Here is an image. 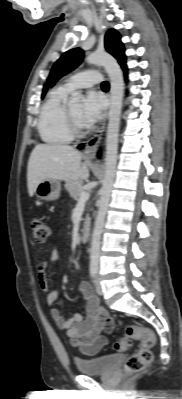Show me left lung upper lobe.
Here are the masks:
<instances>
[{"label": "left lung upper lobe", "mask_w": 182, "mask_h": 399, "mask_svg": "<svg viewBox=\"0 0 182 399\" xmlns=\"http://www.w3.org/2000/svg\"><path fill=\"white\" fill-rule=\"evenodd\" d=\"M105 49L118 60L123 69H126L124 46L116 30L110 29L106 33ZM83 57V51L79 48L65 52L53 65L46 84L44 85L42 96L45 95L48 87H52L58 79L75 69L82 62Z\"/></svg>", "instance_id": "obj_1"}]
</instances>
